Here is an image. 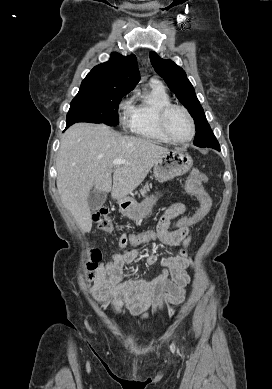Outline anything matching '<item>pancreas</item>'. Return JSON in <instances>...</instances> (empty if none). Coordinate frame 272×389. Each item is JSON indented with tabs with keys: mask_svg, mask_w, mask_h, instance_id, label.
Here are the masks:
<instances>
[{
	"mask_svg": "<svg viewBox=\"0 0 272 389\" xmlns=\"http://www.w3.org/2000/svg\"><path fill=\"white\" fill-rule=\"evenodd\" d=\"M147 191H149V185H145L141 190H140V193L142 195H145L147 193Z\"/></svg>",
	"mask_w": 272,
	"mask_h": 389,
	"instance_id": "pancreas-1",
	"label": "pancreas"
}]
</instances>
